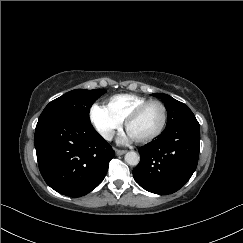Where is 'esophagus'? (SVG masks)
Returning <instances> with one entry per match:
<instances>
[{
  "label": "esophagus",
  "instance_id": "esophagus-1",
  "mask_svg": "<svg viewBox=\"0 0 243 243\" xmlns=\"http://www.w3.org/2000/svg\"><path fill=\"white\" fill-rule=\"evenodd\" d=\"M115 153H116V155L120 156V155L125 154V153H126V150H119V149H116V150H115Z\"/></svg>",
  "mask_w": 243,
  "mask_h": 243
}]
</instances>
